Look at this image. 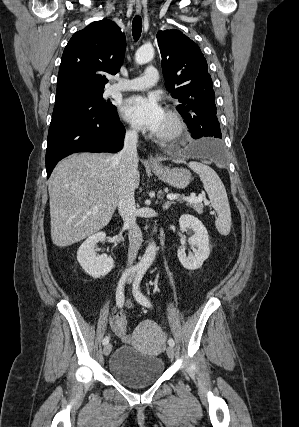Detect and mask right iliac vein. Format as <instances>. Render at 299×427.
Returning a JSON list of instances; mask_svg holds the SVG:
<instances>
[{
  "mask_svg": "<svg viewBox=\"0 0 299 427\" xmlns=\"http://www.w3.org/2000/svg\"><path fill=\"white\" fill-rule=\"evenodd\" d=\"M111 351H112V344H111V343H107V344L104 346V349H103V353H104V355H105V356H108V355L111 353Z\"/></svg>",
  "mask_w": 299,
  "mask_h": 427,
  "instance_id": "1",
  "label": "right iliac vein"
}]
</instances>
